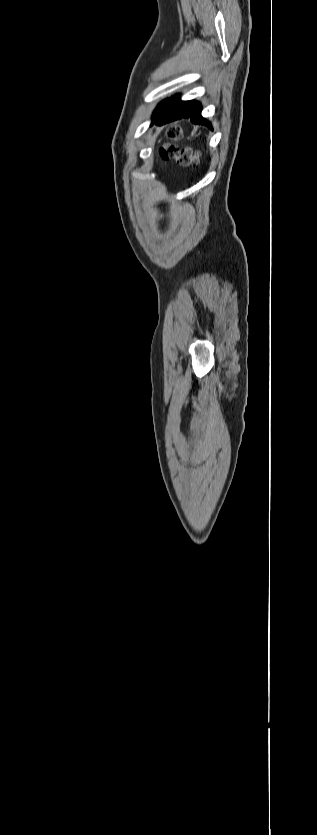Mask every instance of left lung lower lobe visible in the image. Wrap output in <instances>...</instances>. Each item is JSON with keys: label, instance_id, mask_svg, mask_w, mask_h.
<instances>
[{"label": "left lung lower lobe", "instance_id": "0a47b994", "mask_svg": "<svg viewBox=\"0 0 317 835\" xmlns=\"http://www.w3.org/2000/svg\"><path fill=\"white\" fill-rule=\"evenodd\" d=\"M202 107L197 101H181L178 95L172 96L155 114L152 124L164 125L180 119H189L192 123L205 125L213 130L210 122L202 117Z\"/></svg>", "mask_w": 317, "mask_h": 835}]
</instances>
